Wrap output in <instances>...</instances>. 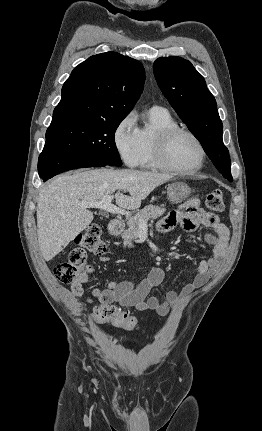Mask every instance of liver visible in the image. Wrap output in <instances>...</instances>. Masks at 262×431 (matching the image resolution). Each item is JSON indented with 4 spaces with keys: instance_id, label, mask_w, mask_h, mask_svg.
I'll use <instances>...</instances> for the list:
<instances>
[{
    "instance_id": "6515ba94",
    "label": "liver",
    "mask_w": 262,
    "mask_h": 431,
    "mask_svg": "<svg viewBox=\"0 0 262 431\" xmlns=\"http://www.w3.org/2000/svg\"><path fill=\"white\" fill-rule=\"evenodd\" d=\"M171 178L156 172L106 168L57 176L40 191L37 201V236L43 258L53 259L92 222L93 214L81 206L82 202L113 196L119 208L135 210Z\"/></svg>"
}]
</instances>
